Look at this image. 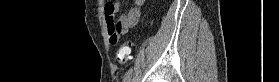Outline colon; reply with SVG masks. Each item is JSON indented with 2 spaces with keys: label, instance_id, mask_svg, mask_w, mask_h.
Here are the masks:
<instances>
[{
  "label": "colon",
  "instance_id": "obj_1",
  "mask_svg": "<svg viewBox=\"0 0 279 82\" xmlns=\"http://www.w3.org/2000/svg\"><path fill=\"white\" fill-rule=\"evenodd\" d=\"M132 42L123 44L119 46L116 51L115 60L119 65H124L128 61L129 55L131 53Z\"/></svg>",
  "mask_w": 279,
  "mask_h": 82
}]
</instances>
